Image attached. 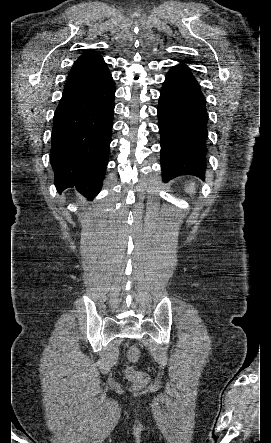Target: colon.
<instances>
[{
  "label": "colon",
  "instance_id": "1",
  "mask_svg": "<svg viewBox=\"0 0 271 443\" xmlns=\"http://www.w3.org/2000/svg\"><path fill=\"white\" fill-rule=\"evenodd\" d=\"M141 357V350L137 345H132L127 352L128 366L125 374L127 378L134 383L138 388L144 387L148 381L149 376L146 372L136 369L135 364Z\"/></svg>",
  "mask_w": 271,
  "mask_h": 443
}]
</instances>
